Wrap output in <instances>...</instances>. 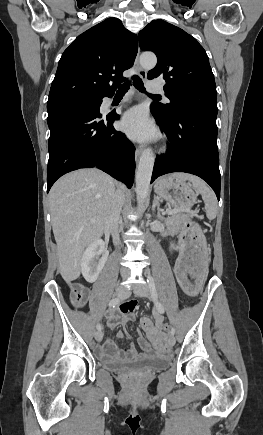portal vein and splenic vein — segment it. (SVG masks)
I'll return each mask as SVG.
<instances>
[{
    "label": "portal vein and splenic vein",
    "instance_id": "obj_1",
    "mask_svg": "<svg viewBox=\"0 0 263 435\" xmlns=\"http://www.w3.org/2000/svg\"><path fill=\"white\" fill-rule=\"evenodd\" d=\"M190 209H186V211H189ZM175 210H173V211H170L169 212V214H171L172 212H174ZM178 211V210H177Z\"/></svg>",
    "mask_w": 263,
    "mask_h": 435
}]
</instances>
